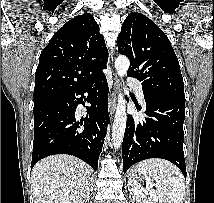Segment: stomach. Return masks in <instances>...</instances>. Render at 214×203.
I'll list each match as a JSON object with an SVG mask.
<instances>
[{
	"mask_svg": "<svg viewBox=\"0 0 214 203\" xmlns=\"http://www.w3.org/2000/svg\"><path fill=\"white\" fill-rule=\"evenodd\" d=\"M147 179V175L143 174L138 167L133 168L129 174V182L132 187H138V182H143Z\"/></svg>",
	"mask_w": 214,
	"mask_h": 203,
	"instance_id": "0dacf381",
	"label": "stomach"
}]
</instances>
